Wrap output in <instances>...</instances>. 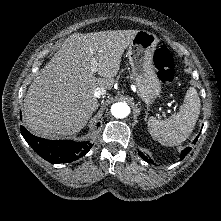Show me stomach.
Wrapping results in <instances>:
<instances>
[{
	"label": "stomach",
	"instance_id": "stomach-1",
	"mask_svg": "<svg viewBox=\"0 0 221 221\" xmlns=\"http://www.w3.org/2000/svg\"><path fill=\"white\" fill-rule=\"evenodd\" d=\"M158 43L155 34L141 30L131 41L127 52L137 94L147 105L152 104L161 92V82L153 62Z\"/></svg>",
	"mask_w": 221,
	"mask_h": 221
}]
</instances>
